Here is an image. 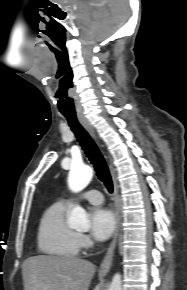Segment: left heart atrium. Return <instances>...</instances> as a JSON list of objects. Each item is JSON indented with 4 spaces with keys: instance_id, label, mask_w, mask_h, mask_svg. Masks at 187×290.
I'll return each instance as SVG.
<instances>
[{
    "instance_id": "39dd6f15",
    "label": "left heart atrium",
    "mask_w": 187,
    "mask_h": 290,
    "mask_svg": "<svg viewBox=\"0 0 187 290\" xmlns=\"http://www.w3.org/2000/svg\"><path fill=\"white\" fill-rule=\"evenodd\" d=\"M90 225L91 234L98 240H105L115 230L116 218L109 209L96 208L91 214Z\"/></svg>"
}]
</instances>
